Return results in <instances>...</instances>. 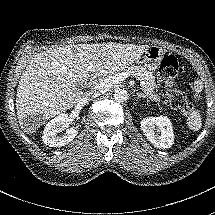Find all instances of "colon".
Returning <instances> with one entry per match:
<instances>
[{
    "instance_id": "1",
    "label": "colon",
    "mask_w": 215,
    "mask_h": 215,
    "mask_svg": "<svg viewBox=\"0 0 215 215\" xmlns=\"http://www.w3.org/2000/svg\"><path fill=\"white\" fill-rule=\"evenodd\" d=\"M179 72V60L174 55H166L161 60L158 70V84L161 88H170L173 80ZM165 97L169 105L183 114L188 115L193 111V104L187 96L178 90L168 89L165 91Z\"/></svg>"
}]
</instances>
